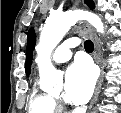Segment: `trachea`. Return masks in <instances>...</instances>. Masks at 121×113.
Listing matches in <instances>:
<instances>
[{
    "instance_id": "1",
    "label": "trachea",
    "mask_w": 121,
    "mask_h": 113,
    "mask_svg": "<svg viewBox=\"0 0 121 113\" xmlns=\"http://www.w3.org/2000/svg\"><path fill=\"white\" fill-rule=\"evenodd\" d=\"M84 48L87 52H92L94 49V44L90 40H86L84 43Z\"/></svg>"
}]
</instances>
